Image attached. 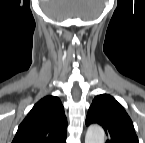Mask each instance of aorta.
I'll return each instance as SVG.
<instances>
[{"label": "aorta", "instance_id": "obj_1", "mask_svg": "<svg viewBox=\"0 0 145 143\" xmlns=\"http://www.w3.org/2000/svg\"><path fill=\"white\" fill-rule=\"evenodd\" d=\"M105 132L102 127L93 125L87 130L85 143H104Z\"/></svg>", "mask_w": 145, "mask_h": 143}]
</instances>
